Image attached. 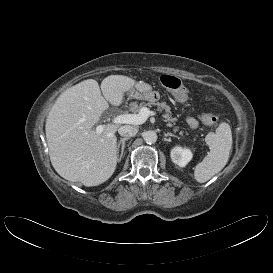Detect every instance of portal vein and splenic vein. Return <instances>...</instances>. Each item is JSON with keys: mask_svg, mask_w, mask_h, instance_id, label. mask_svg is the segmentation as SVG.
I'll use <instances>...</instances> for the list:
<instances>
[{"mask_svg": "<svg viewBox=\"0 0 273 273\" xmlns=\"http://www.w3.org/2000/svg\"><path fill=\"white\" fill-rule=\"evenodd\" d=\"M156 113L149 110L147 107H143L138 114H120L113 118V124H132L141 125L143 124L149 116H154ZM105 125H98L96 127V132L101 133L104 130Z\"/></svg>", "mask_w": 273, "mask_h": 273, "instance_id": "1", "label": "portal vein and splenic vein"}]
</instances>
